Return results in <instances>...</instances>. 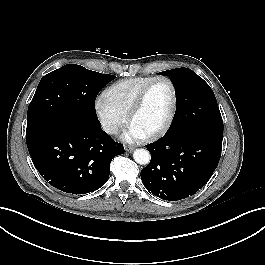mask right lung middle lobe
I'll use <instances>...</instances> for the list:
<instances>
[{"label": "right lung middle lobe", "mask_w": 265, "mask_h": 265, "mask_svg": "<svg viewBox=\"0 0 265 265\" xmlns=\"http://www.w3.org/2000/svg\"><path fill=\"white\" fill-rule=\"evenodd\" d=\"M114 78L77 64L48 73L41 79L28 107L26 134L67 118L97 121L96 96Z\"/></svg>", "instance_id": "1"}]
</instances>
